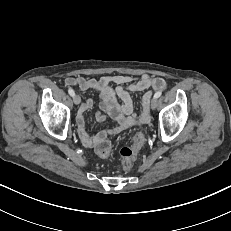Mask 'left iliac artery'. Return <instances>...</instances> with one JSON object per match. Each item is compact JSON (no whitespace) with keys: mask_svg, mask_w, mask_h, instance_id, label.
Wrapping results in <instances>:
<instances>
[{"mask_svg":"<svg viewBox=\"0 0 231 231\" xmlns=\"http://www.w3.org/2000/svg\"><path fill=\"white\" fill-rule=\"evenodd\" d=\"M162 92L161 91H158L154 94V97L155 98H159L161 96Z\"/></svg>","mask_w":231,"mask_h":231,"instance_id":"left-iliac-artery-1","label":"left iliac artery"}]
</instances>
